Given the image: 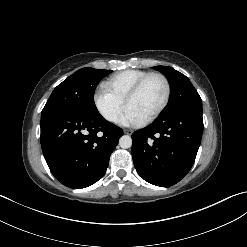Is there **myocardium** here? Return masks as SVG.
I'll return each instance as SVG.
<instances>
[{"mask_svg":"<svg viewBox=\"0 0 247 247\" xmlns=\"http://www.w3.org/2000/svg\"><path fill=\"white\" fill-rule=\"evenodd\" d=\"M152 77H159L160 79L163 80L166 88V93L163 102L161 105L150 115L148 116L145 120L144 123H149L154 121L167 107L169 104L170 98H171V93H172V88H171V83L169 79L162 73L160 72H151L144 77H142L127 93L125 97V105L127 106L130 100L135 97L139 91L142 89L144 84Z\"/></svg>","mask_w":247,"mask_h":247,"instance_id":"1","label":"myocardium"}]
</instances>
